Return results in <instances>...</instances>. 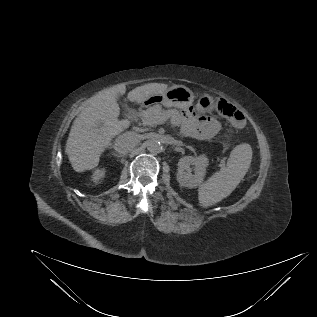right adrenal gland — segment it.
<instances>
[{
	"label": "right adrenal gland",
	"instance_id": "obj_1",
	"mask_svg": "<svg viewBox=\"0 0 317 317\" xmlns=\"http://www.w3.org/2000/svg\"><path fill=\"white\" fill-rule=\"evenodd\" d=\"M112 154H113L114 156H116V157H121V155H119V154L116 153V152H112Z\"/></svg>",
	"mask_w": 317,
	"mask_h": 317
}]
</instances>
